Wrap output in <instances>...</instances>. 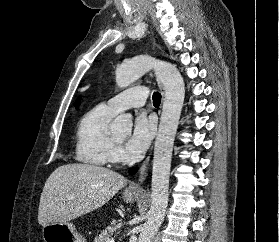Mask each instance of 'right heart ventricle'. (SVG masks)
I'll return each instance as SVG.
<instances>
[{
    "mask_svg": "<svg viewBox=\"0 0 279 242\" xmlns=\"http://www.w3.org/2000/svg\"><path fill=\"white\" fill-rule=\"evenodd\" d=\"M115 114L99 104L82 116L76 130V157L80 162L105 166L115 160L117 146L108 132Z\"/></svg>",
    "mask_w": 279,
    "mask_h": 242,
    "instance_id": "1",
    "label": "right heart ventricle"
}]
</instances>
